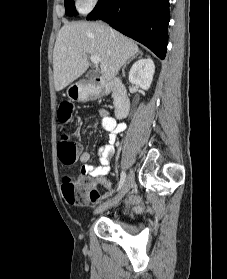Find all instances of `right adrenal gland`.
<instances>
[{"mask_svg": "<svg viewBox=\"0 0 227 279\" xmlns=\"http://www.w3.org/2000/svg\"><path fill=\"white\" fill-rule=\"evenodd\" d=\"M138 55H143V53L142 52H138L135 56H133V57H131L130 59H128L125 63H124V65H123V68H122V74H123V76H125V67H126V65L127 64H129L133 59H135Z\"/></svg>", "mask_w": 227, "mask_h": 279, "instance_id": "1", "label": "right adrenal gland"}]
</instances>
